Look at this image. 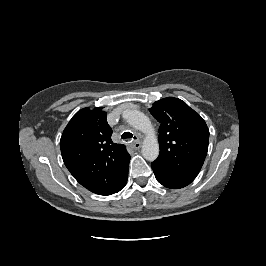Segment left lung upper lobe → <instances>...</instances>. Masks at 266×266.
Masks as SVG:
<instances>
[{
	"mask_svg": "<svg viewBox=\"0 0 266 266\" xmlns=\"http://www.w3.org/2000/svg\"><path fill=\"white\" fill-rule=\"evenodd\" d=\"M149 111L161 124L160 154L151 163L155 176L187 186L198 175L208 151L209 129L205 121L174 97L156 101Z\"/></svg>",
	"mask_w": 266,
	"mask_h": 266,
	"instance_id": "left-lung-upper-lobe-1",
	"label": "left lung upper lobe"
}]
</instances>
